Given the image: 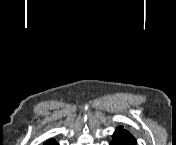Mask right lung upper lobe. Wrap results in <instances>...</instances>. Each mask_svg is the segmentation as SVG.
Listing matches in <instances>:
<instances>
[{
    "label": "right lung upper lobe",
    "mask_w": 176,
    "mask_h": 145,
    "mask_svg": "<svg viewBox=\"0 0 176 145\" xmlns=\"http://www.w3.org/2000/svg\"><path fill=\"white\" fill-rule=\"evenodd\" d=\"M45 145H57V143H55L53 140H49L45 143Z\"/></svg>",
    "instance_id": "cb5924a9"
}]
</instances>
